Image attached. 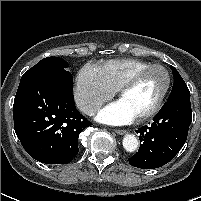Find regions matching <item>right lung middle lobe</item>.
<instances>
[{
    "label": "right lung middle lobe",
    "instance_id": "right-lung-middle-lobe-1",
    "mask_svg": "<svg viewBox=\"0 0 201 201\" xmlns=\"http://www.w3.org/2000/svg\"><path fill=\"white\" fill-rule=\"evenodd\" d=\"M67 63L59 57H47L39 61L36 65L30 68L21 79L30 76H46L62 81L63 83L73 86V77L70 72L66 71Z\"/></svg>",
    "mask_w": 201,
    "mask_h": 201
}]
</instances>
